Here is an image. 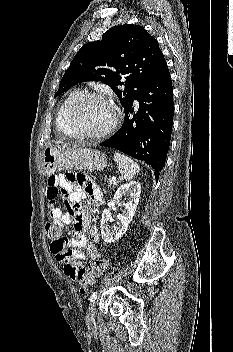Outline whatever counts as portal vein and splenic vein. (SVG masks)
Here are the masks:
<instances>
[{
    "instance_id": "18ae733b",
    "label": "portal vein and splenic vein",
    "mask_w": 233,
    "mask_h": 352,
    "mask_svg": "<svg viewBox=\"0 0 233 352\" xmlns=\"http://www.w3.org/2000/svg\"><path fill=\"white\" fill-rule=\"evenodd\" d=\"M111 180H112V182H116L117 179H116V177L113 176V177L111 178Z\"/></svg>"
}]
</instances>
